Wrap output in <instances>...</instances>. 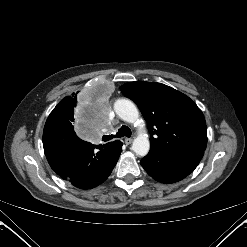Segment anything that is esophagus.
I'll return each instance as SVG.
<instances>
[{"instance_id":"esophagus-1","label":"esophagus","mask_w":247,"mask_h":247,"mask_svg":"<svg viewBox=\"0 0 247 247\" xmlns=\"http://www.w3.org/2000/svg\"><path fill=\"white\" fill-rule=\"evenodd\" d=\"M132 141H133L132 138H125V140H124V142H125L127 145L131 144Z\"/></svg>"}]
</instances>
